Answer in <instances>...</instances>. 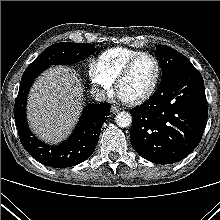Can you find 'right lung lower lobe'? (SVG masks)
<instances>
[{
	"instance_id": "1",
	"label": "right lung lower lobe",
	"mask_w": 220,
	"mask_h": 220,
	"mask_svg": "<svg viewBox=\"0 0 220 220\" xmlns=\"http://www.w3.org/2000/svg\"><path fill=\"white\" fill-rule=\"evenodd\" d=\"M43 68H27L21 78L18 96L14 105V118L20 141L25 150L47 166L64 168L82 163L94 152L102 124L108 119L109 103L88 104L70 138L58 146L47 145L30 131L26 121V100L29 89Z\"/></svg>"
}]
</instances>
